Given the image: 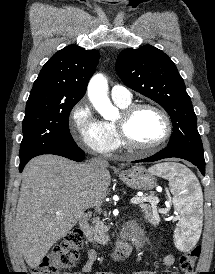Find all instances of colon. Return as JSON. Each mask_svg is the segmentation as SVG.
I'll return each instance as SVG.
<instances>
[{
	"mask_svg": "<svg viewBox=\"0 0 215 274\" xmlns=\"http://www.w3.org/2000/svg\"><path fill=\"white\" fill-rule=\"evenodd\" d=\"M82 247L83 234L80 229H73L49 251L38 266L32 269V274H74L62 273V271L74 265ZM200 252L201 247L195 246L182 254L180 269L184 274H194Z\"/></svg>",
	"mask_w": 215,
	"mask_h": 274,
	"instance_id": "obj_1",
	"label": "colon"
}]
</instances>
